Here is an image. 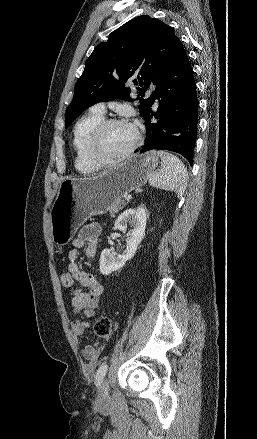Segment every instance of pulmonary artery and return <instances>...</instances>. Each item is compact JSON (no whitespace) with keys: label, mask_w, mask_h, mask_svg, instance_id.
<instances>
[{"label":"pulmonary artery","mask_w":257,"mask_h":439,"mask_svg":"<svg viewBox=\"0 0 257 439\" xmlns=\"http://www.w3.org/2000/svg\"><path fill=\"white\" fill-rule=\"evenodd\" d=\"M151 93V91L148 93V95ZM93 110L94 111H96V112H99V113H104L105 112V107H104V105L103 104H101V103H98V104H95L94 106H93Z\"/></svg>","instance_id":"pulmonary-artery-1"}]
</instances>
